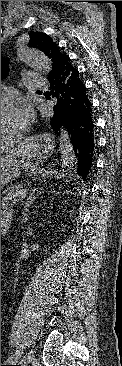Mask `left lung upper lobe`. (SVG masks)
Masks as SVG:
<instances>
[{
    "label": "left lung upper lobe",
    "instance_id": "1",
    "mask_svg": "<svg viewBox=\"0 0 122 366\" xmlns=\"http://www.w3.org/2000/svg\"><path fill=\"white\" fill-rule=\"evenodd\" d=\"M29 35V46L40 49L44 52L51 59L53 69L58 66L62 58L66 56L46 33L30 32ZM6 64L7 60L1 58V78L2 76H5L6 68L4 66Z\"/></svg>",
    "mask_w": 122,
    "mask_h": 366
}]
</instances>
